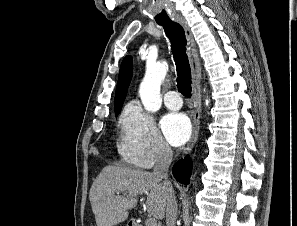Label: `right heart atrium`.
<instances>
[{"instance_id":"d8ad5b80","label":"right heart atrium","mask_w":297,"mask_h":226,"mask_svg":"<svg viewBox=\"0 0 297 226\" xmlns=\"http://www.w3.org/2000/svg\"><path fill=\"white\" fill-rule=\"evenodd\" d=\"M120 129L119 153L127 163L150 169L171 158V148L163 139L155 119L138 103L126 107Z\"/></svg>"}]
</instances>
